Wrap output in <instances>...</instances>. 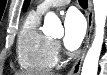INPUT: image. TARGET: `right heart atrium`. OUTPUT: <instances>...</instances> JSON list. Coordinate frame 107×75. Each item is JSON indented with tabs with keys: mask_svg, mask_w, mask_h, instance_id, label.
Instances as JSON below:
<instances>
[{
	"mask_svg": "<svg viewBox=\"0 0 107 75\" xmlns=\"http://www.w3.org/2000/svg\"><path fill=\"white\" fill-rule=\"evenodd\" d=\"M54 49L56 53L60 52V45L57 42H54Z\"/></svg>",
	"mask_w": 107,
	"mask_h": 75,
	"instance_id": "right-heart-atrium-1",
	"label": "right heart atrium"
}]
</instances>
